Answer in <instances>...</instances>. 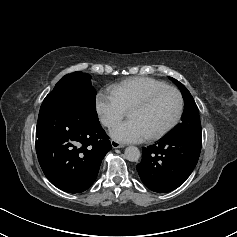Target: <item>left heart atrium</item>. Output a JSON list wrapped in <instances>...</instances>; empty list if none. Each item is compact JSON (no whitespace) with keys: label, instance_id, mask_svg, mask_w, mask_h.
<instances>
[{"label":"left heart atrium","instance_id":"left-heart-atrium-1","mask_svg":"<svg viewBox=\"0 0 237 237\" xmlns=\"http://www.w3.org/2000/svg\"><path fill=\"white\" fill-rule=\"evenodd\" d=\"M111 136L120 142H142L148 138L137 120L130 119L115 126Z\"/></svg>","mask_w":237,"mask_h":237}]
</instances>
